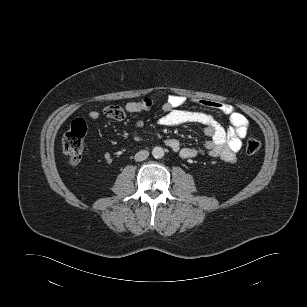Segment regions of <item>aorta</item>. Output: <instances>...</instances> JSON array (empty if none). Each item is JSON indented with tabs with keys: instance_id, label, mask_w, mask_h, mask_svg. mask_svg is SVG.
Returning <instances> with one entry per match:
<instances>
[{
	"instance_id": "obj_1",
	"label": "aorta",
	"mask_w": 307,
	"mask_h": 307,
	"mask_svg": "<svg viewBox=\"0 0 307 307\" xmlns=\"http://www.w3.org/2000/svg\"><path fill=\"white\" fill-rule=\"evenodd\" d=\"M152 155L156 159H160L164 156V150L162 147L156 146L152 150Z\"/></svg>"
}]
</instances>
